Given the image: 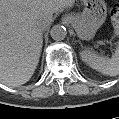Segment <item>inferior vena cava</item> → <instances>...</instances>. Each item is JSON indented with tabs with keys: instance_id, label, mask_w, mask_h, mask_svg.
<instances>
[{
	"instance_id": "inferior-vena-cava-1",
	"label": "inferior vena cava",
	"mask_w": 119,
	"mask_h": 119,
	"mask_svg": "<svg viewBox=\"0 0 119 119\" xmlns=\"http://www.w3.org/2000/svg\"><path fill=\"white\" fill-rule=\"evenodd\" d=\"M45 29H46V26L45 25L38 26V31L39 32H43Z\"/></svg>"
}]
</instances>
